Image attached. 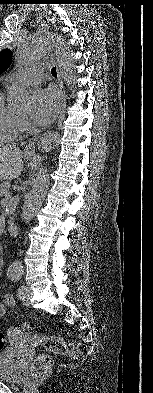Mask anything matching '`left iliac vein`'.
Listing matches in <instances>:
<instances>
[{"label": "left iliac vein", "mask_w": 153, "mask_h": 393, "mask_svg": "<svg viewBox=\"0 0 153 393\" xmlns=\"http://www.w3.org/2000/svg\"><path fill=\"white\" fill-rule=\"evenodd\" d=\"M31 294V289L29 286H24L23 294L20 296L22 298L23 304L28 306L30 304L29 297Z\"/></svg>", "instance_id": "1"}]
</instances>
